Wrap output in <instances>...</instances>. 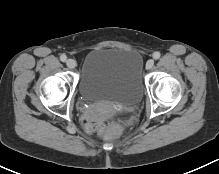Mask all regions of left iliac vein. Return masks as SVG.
Instances as JSON below:
<instances>
[{"instance_id": "1", "label": "left iliac vein", "mask_w": 219, "mask_h": 174, "mask_svg": "<svg viewBox=\"0 0 219 174\" xmlns=\"http://www.w3.org/2000/svg\"><path fill=\"white\" fill-rule=\"evenodd\" d=\"M154 66V60L153 59H149L146 62V69H151Z\"/></svg>"}]
</instances>
